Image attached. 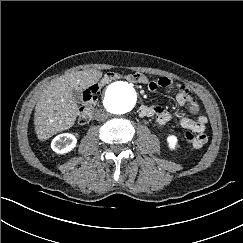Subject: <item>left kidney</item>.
I'll return each mask as SVG.
<instances>
[{
    "label": "left kidney",
    "instance_id": "1",
    "mask_svg": "<svg viewBox=\"0 0 243 243\" xmlns=\"http://www.w3.org/2000/svg\"><path fill=\"white\" fill-rule=\"evenodd\" d=\"M167 143L170 149H175L178 143V139L175 135H169L167 137Z\"/></svg>",
    "mask_w": 243,
    "mask_h": 243
}]
</instances>
